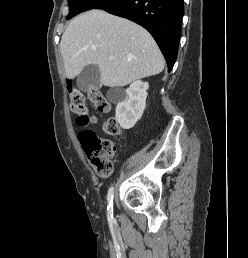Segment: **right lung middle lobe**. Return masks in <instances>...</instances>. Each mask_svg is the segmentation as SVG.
<instances>
[{
	"mask_svg": "<svg viewBox=\"0 0 248 258\" xmlns=\"http://www.w3.org/2000/svg\"><path fill=\"white\" fill-rule=\"evenodd\" d=\"M110 1L111 0H68L69 14L66 19H70L77 14L90 9H98Z\"/></svg>",
	"mask_w": 248,
	"mask_h": 258,
	"instance_id": "right-lung-middle-lobe-1",
	"label": "right lung middle lobe"
}]
</instances>
